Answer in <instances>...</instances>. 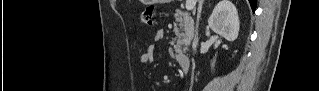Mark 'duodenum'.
<instances>
[{"label":"duodenum","instance_id":"410a0bca","mask_svg":"<svg viewBox=\"0 0 319 91\" xmlns=\"http://www.w3.org/2000/svg\"><path fill=\"white\" fill-rule=\"evenodd\" d=\"M176 62L183 71H188L190 68V58L185 54H179L175 58Z\"/></svg>","mask_w":319,"mask_h":91}]
</instances>
